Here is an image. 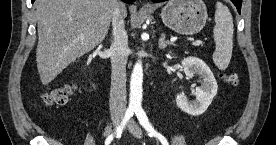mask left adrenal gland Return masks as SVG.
I'll return each mask as SVG.
<instances>
[{
	"label": "left adrenal gland",
	"mask_w": 276,
	"mask_h": 145,
	"mask_svg": "<svg viewBox=\"0 0 276 145\" xmlns=\"http://www.w3.org/2000/svg\"><path fill=\"white\" fill-rule=\"evenodd\" d=\"M166 36L164 33L161 34V37L159 38L158 41V46L160 49H165L167 47V45H175L173 42L169 41V40H165Z\"/></svg>",
	"instance_id": "1"
}]
</instances>
